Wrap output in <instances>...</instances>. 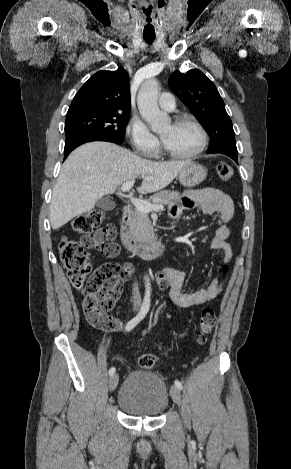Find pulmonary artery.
Here are the masks:
<instances>
[{
  "label": "pulmonary artery",
  "mask_w": 291,
  "mask_h": 469,
  "mask_svg": "<svg viewBox=\"0 0 291 469\" xmlns=\"http://www.w3.org/2000/svg\"><path fill=\"white\" fill-rule=\"evenodd\" d=\"M159 106L167 111H172L175 108L174 96L170 93H162L159 97Z\"/></svg>",
  "instance_id": "pulmonary-artery-1"
}]
</instances>
